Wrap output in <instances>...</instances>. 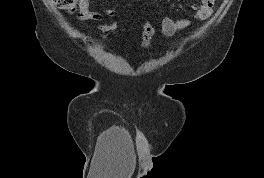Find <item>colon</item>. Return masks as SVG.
I'll return each mask as SVG.
<instances>
[{
    "instance_id": "5ec220e1",
    "label": "colon",
    "mask_w": 264,
    "mask_h": 178,
    "mask_svg": "<svg viewBox=\"0 0 264 178\" xmlns=\"http://www.w3.org/2000/svg\"><path fill=\"white\" fill-rule=\"evenodd\" d=\"M54 4L61 10L67 12H74L76 9V4L78 0H53ZM118 27V23L108 22L104 23L101 30L105 34L113 33ZM156 31V25L153 21H147L143 27L141 33V42L143 47H148L151 44L152 37Z\"/></svg>"
}]
</instances>
